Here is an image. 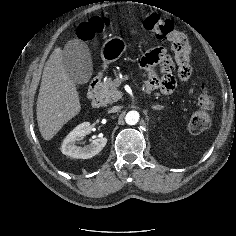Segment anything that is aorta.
Returning a JSON list of instances; mask_svg holds the SVG:
<instances>
[{
  "label": "aorta",
  "mask_w": 236,
  "mask_h": 236,
  "mask_svg": "<svg viewBox=\"0 0 236 236\" xmlns=\"http://www.w3.org/2000/svg\"><path fill=\"white\" fill-rule=\"evenodd\" d=\"M139 113L137 111H129L125 116V121L128 125H135L139 121Z\"/></svg>",
  "instance_id": "762f6f07"
}]
</instances>
